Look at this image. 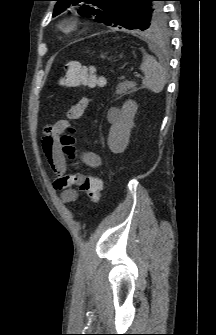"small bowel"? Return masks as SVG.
Wrapping results in <instances>:
<instances>
[{
    "label": "small bowel",
    "instance_id": "c3829d8e",
    "mask_svg": "<svg viewBox=\"0 0 216 335\" xmlns=\"http://www.w3.org/2000/svg\"><path fill=\"white\" fill-rule=\"evenodd\" d=\"M89 99L82 98L76 104L69 108L67 119L58 120L55 124L47 126L42 138V148L44 155L55 174L53 186L56 190L62 192L64 202H73L78 198V191L73 188L78 184L79 177L74 175H66V161L60 147V135L67 128L68 120H76L81 118L88 107ZM87 141V139L85 138ZM83 161L93 168H97L101 164L100 157L90 150L82 153Z\"/></svg>",
    "mask_w": 216,
    "mask_h": 335
}]
</instances>
